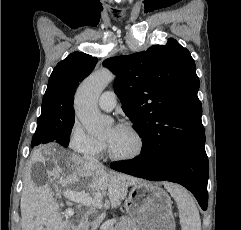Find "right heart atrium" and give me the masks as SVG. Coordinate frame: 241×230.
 <instances>
[{"mask_svg": "<svg viewBox=\"0 0 241 230\" xmlns=\"http://www.w3.org/2000/svg\"><path fill=\"white\" fill-rule=\"evenodd\" d=\"M68 145L74 152L89 157L99 155L105 148L104 143L92 137L78 120L70 130Z\"/></svg>", "mask_w": 241, "mask_h": 230, "instance_id": "obj_1", "label": "right heart atrium"}]
</instances>
